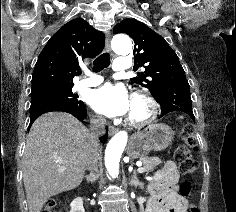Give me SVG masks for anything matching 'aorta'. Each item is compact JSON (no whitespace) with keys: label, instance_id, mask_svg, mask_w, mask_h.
Segmentation results:
<instances>
[{"label":"aorta","instance_id":"obj_1","mask_svg":"<svg viewBox=\"0 0 236 212\" xmlns=\"http://www.w3.org/2000/svg\"><path fill=\"white\" fill-rule=\"evenodd\" d=\"M112 48L118 54H127L132 49V42L125 34H117L112 39ZM128 134L117 132L109 141L105 151V166L112 177L118 176L121 155L126 147Z\"/></svg>","mask_w":236,"mask_h":212}]
</instances>
